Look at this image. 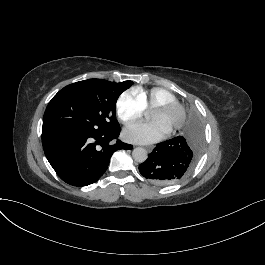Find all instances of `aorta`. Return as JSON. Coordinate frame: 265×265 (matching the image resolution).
Masks as SVG:
<instances>
[{
	"instance_id": "1",
	"label": "aorta",
	"mask_w": 265,
	"mask_h": 265,
	"mask_svg": "<svg viewBox=\"0 0 265 265\" xmlns=\"http://www.w3.org/2000/svg\"><path fill=\"white\" fill-rule=\"evenodd\" d=\"M132 156L136 162L143 163L147 159V151L142 147H137L133 150Z\"/></svg>"
}]
</instances>
